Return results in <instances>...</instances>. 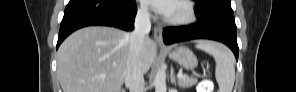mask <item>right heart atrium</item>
<instances>
[{"label": "right heart atrium", "instance_id": "obj_1", "mask_svg": "<svg viewBox=\"0 0 296 92\" xmlns=\"http://www.w3.org/2000/svg\"><path fill=\"white\" fill-rule=\"evenodd\" d=\"M139 13H140L143 17H147V16L149 15V12H148V10H147L146 7H141V8L139 9Z\"/></svg>", "mask_w": 296, "mask_h": 92}]
</instances>
